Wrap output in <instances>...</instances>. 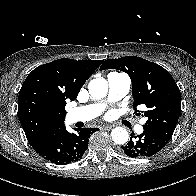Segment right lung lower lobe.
<instances>
[{
  "label": "right lung lower lobe",
  "instance_id": "right-lung-lower-lobe-1",
  "mask_svg": "<svg viewBox=\"0 0 196 196\" xmlns=\"http://www.w3.org/2000/svg\"><path fill=\"white\" fill-rule=\"evenodd\" d=\"M98 128L76 129L69 133L65 125L41 138L31 146L44 159L58 165H65L81 159L88 149V139Z\"/></svg>",
  "mask_w": 196,
  "mask_h": 196
}]
</instances>
